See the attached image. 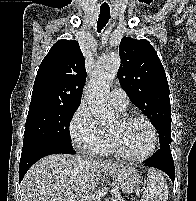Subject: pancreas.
I'll return each instance as SVG.
<instances>
[{"label": "pancreas", "instance_id": "1", "mask_svg": "<svg viewBox=\"0 0 196 201\" xmlns=\"http://www.w3.org/2000/svg\"><path fill=\"white\" fill-rule=\"evenodd\" d=\"M113 201H124V200H122L120 198H115Z\"/></svg>", "mask_w": 196, "mask_h": 201}]
</instances>
